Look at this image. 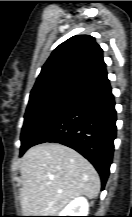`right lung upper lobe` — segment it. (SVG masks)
<instances>
[{
    "label": "right lung upper lobe",
    "instance_id": "right-lung-upper-lobe-1",
    "mask_svg": "<svg viewBox=\"0 0 132 217\" xmlns=\"http://www.w3.org/2000/svg\"><path fill=\"white\" fill-rule=\"evenodd\" d=\"M108 82L102 49L92 36L77 35L52 52L30 97L55 91L80 95Z\"/></svg>",
    "mask_w": 132,
    "mask_h": 217
}]
</instances>
